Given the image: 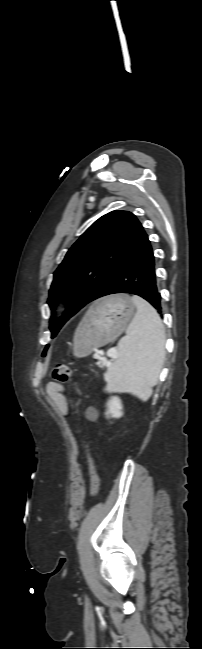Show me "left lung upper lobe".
I'll use <instances>...</instances> for the list:
<instances>
[{
    "label": "left lung upper lobe",
    "mask_w": 202,
    "mask_h": 649,
    "mask_svg": "<svg viewBox=\"0 0 202 649\" xmlns=\"http://www.w3.org/2000/svg\"><path fill=\"white\" fill-rule=\"evenodd\" d=\"M142 225L128 211H112L95 221L74 243L54 272L48 303L68 299L67 309L50 321L54 338L64 323L93 301L110 271L120 260ZM45 356V354H43Z\"/></svg>",
    "instance_id": "left-lung-upper-lobe-1"
}]
</instances>
